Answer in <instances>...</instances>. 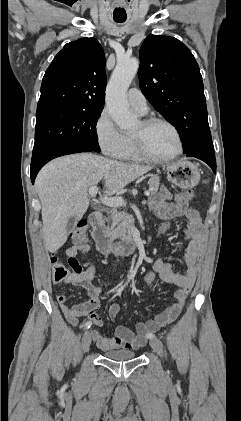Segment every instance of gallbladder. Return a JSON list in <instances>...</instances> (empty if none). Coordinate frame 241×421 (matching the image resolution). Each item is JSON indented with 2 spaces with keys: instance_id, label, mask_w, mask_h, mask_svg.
<instances>
[{
  "instance_id": "gallbladder-1",
  "label": "gallbladder",
  "mask_w": 241,
  "mask_h": 421,
  "mask_svg": "<svg viewBox=\"0 0 241 421\" xmlns=\"http://www.w3.org/2000/svg\"><path fill=\"white\" fill-rule=\"evenodd\" d=\"M76 222H77V218L75 216H71L68 219L67 226H66L67 233H70L75 228Z\"/></svg>"
}]
</instances>
